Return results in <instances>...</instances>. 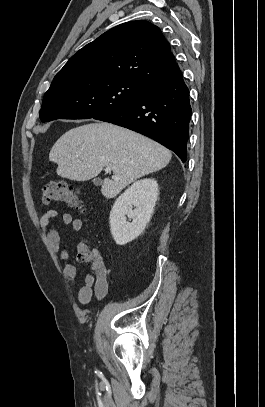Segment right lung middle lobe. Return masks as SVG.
I'll return each mask as SVG.
<instances>
[{"instance_id": "1", "label": "right lung middle lobe", "mask_w": 265, "mask_h": 407, "mask_svg": "<svg viewBox=\"0 0 265 407\" xmlns=\"http://www.w3.org/2000/svg\"><path fill=\"white\" fill-rule=\"evenodd\" d=\"M147 88L135 81L102 76L52 82L39 117L42 122L96 118L135 103Z\"/></svg>"}]
</instances>
